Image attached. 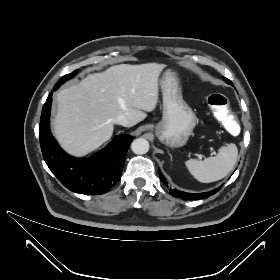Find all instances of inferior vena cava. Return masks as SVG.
Returning <instances> with one entry per match:
<instances>
[{
  "label": "inferior vena cava",
  "instance_id": "1",
  "mask_svg": "<svg viewBox=\"0 0 280 280\" xmlns=\"http://www.w3.org/2000/svg\"><path fill=\"white\" fill-rule=\"evenodd\" d=\"M113 122L116 123V124H120L122 126H125V127H129L130 126L129 120L124 115H120V116L116 117L113 120Z\"/></svg>",
  "mask_w": 280,
  "mask_h": 280
}]
</instances>
